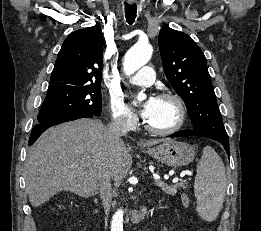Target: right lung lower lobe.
<instances>
[{
	"mask_svg": "<svg viewBox=\"0 0 261 231\" xmlns=\"http://www.w3.org/2000/svg\"><path fill=\"white\" fill-rule=\"evenodd\" d=\"M93 116H97L94 114H90V113H75V114H70V115H65V116H61L55 119H51L42 123H39L38 125L34 126L29 138V146L32 145L37 139L38 137L49 127L63 123V122H67V121H72V120H76L79 118H90Z\"/></svg>",
	"mask_w": 261,
	"mask_h": 231,
	"instance_id": "1",
	"label": "right lung lower lobe"
}]
</instances>
